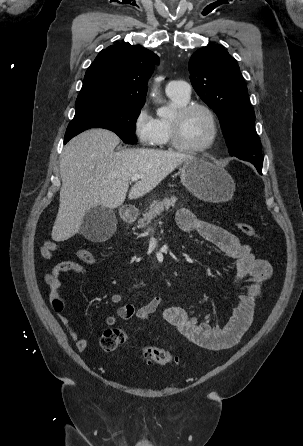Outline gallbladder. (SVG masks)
Here are the masks:
<instances>
[{"label":"gallbladder","mask_w":303,"mask_h":446,"mask_svg":"<svg viewBox=\"0 0 303 446\" xmlns=\"http://www.w3.org/2000/svg\"><path fill=\"white\" fill-rule=\"evenodd\" d=\"M116 223L115 214L111 209L98 206L84 216L80 232L88 240L99 242L113 234Z\"/></svg>","instance_id":"obj_1"}]
</instances>
